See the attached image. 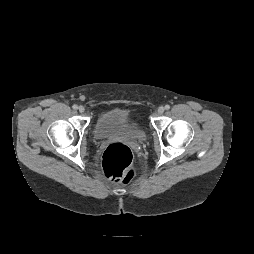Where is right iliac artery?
I'll use <instances>...</instances> for the list:
<instances>
[{"instance_id": "obj_1", "label": "right iliac artery", "mask_w": 254, "mask_h": 254, "mask_svg": "<svg viewBox=\"0 0 254 254\" xmlns=\"http://www.w3.org/2000/svg\"><path fill=\"white\" fill-rule=\"evenodd\" d=\"M72 108H73L74 110H76V109L78 108V106H77V105H73Z\"/></svg>"}]
</instances>
